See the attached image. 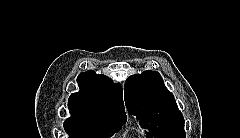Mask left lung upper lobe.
Masks as SVG:
<instances>
[{"instance_id": "left-lung-upper-lobe-1", "label": "left lung upper lobe", "mask_w": 240, "mask_h": 138, "mask_svg": "<svg viewBox=\"0 0 240 138\" xmlns=\"http://www.w3.org/2000/svg\"><path fill=\"white\" fill-rule=\"evenodd\" d=\"M124 93L128 112L149 130L147 135L185 138L183 115L158 72L144 71L130 76L125 82Z\"/></svg>"}]
</instances>
